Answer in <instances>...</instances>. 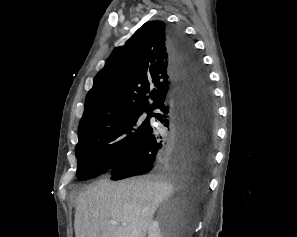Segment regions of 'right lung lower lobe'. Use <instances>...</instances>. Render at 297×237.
<instances>
[{
  "mask_svg": "<svg viewBox=\"0 0 297 237\" xmlns=\"http://www.w3.org/2000/svg\"><path fill=\"white\" fill-rule=\"evenodd\" d=\"M176 89L153 116L166 130L151 128L145 139L111 170L112 180L148 173L208 174L213 163L216 109L212 89L191 41L169 28Z\"/></svg>",
  "mask_w": 297,
  "mask_h": 237,
  "instance_id": "right-lung-lower-lobe-1",
  "label": "right lung lower lobe"
}]
</instances>
